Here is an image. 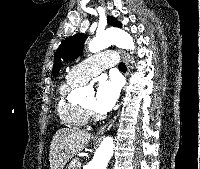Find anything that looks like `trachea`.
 I'll list each match as a JSON object with an SVG mask.
<instances>
[{
    "label": "trachea",
    "instance_id": "obj_1",
    "mask_svg": "<svg viewBox=\"0 0 200 169\" xmlns=\"http://www.w3.org/2000/svg\"><path fill=\"white\" fill-rule=\"evenodd\" d=\"M119 69H120L121 71H126V70H127V67H126V65H125L123 62H121V63L119 64Z\"/></svg>",
    "mask_w": 200,
    "mask_h": 169
}]
</instances>
